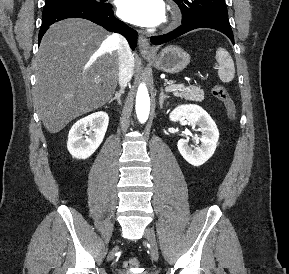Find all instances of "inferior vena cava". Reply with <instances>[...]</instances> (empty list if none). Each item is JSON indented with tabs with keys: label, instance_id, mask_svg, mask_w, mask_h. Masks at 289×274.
I'll list each match as a JSON object with an SVG mask.
<instances>
[{
	"label": "inferior vena cava",
	"instance_id": "1",
	"mask_svg": "<svg viewBox=\"0 0 289 274\" xmlns=\"http://www.w3.org/2000/svg\"><path fill=\"white\" fill-rule=\"evenodd\" d=\"M111 40L117 45L119 56L118 81L119 85L124 88L133 75L134 57L127 41L123 37L114 34L111 36Z\"/></svg>",
	"mask_w": 289,
	"mask_h": 274
}]
</instances>
